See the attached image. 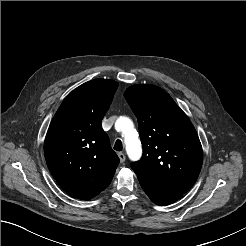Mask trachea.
<instances>
[{"label":"trachea","mask_w":246,"mask_h":246,"mask_svg":"<svg viewBox=\"0 0 246 246\" xmlns=\"http://www.w3.org/2000/svg\"><path fill=\"white\" fill-rule=\"evenodd\" d=\"M114 149H115L116 151H122L123 145H122V142H121L120 140H117V141L115 142Z\"/></svg>","instance_id":"trachea-1"}]
</instances>
